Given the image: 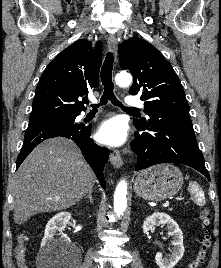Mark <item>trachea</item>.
Returning a JSON list of instances; mask_svg holds the SVG:
<instances>
[{"instance_id": "trachea-1", "label": "trachea", "mask_w": 221, "mask_h": 268, "mask_svg": "<svg viewBox=\"0 0 221 268\" xmlns=\"http://www.w3.org/2000/svg\"><path fill=\"white\" fill-rule=\"evenodd\" d=\"M113 61H114V56L113 53L109 52L106 55L105 61L103 63V66L101 68V82L102 85L104 86V92L101 97L100 103L98 105H91L93 109H97L100 105H105L108 100L112 102L115 106H119L125 111H138L136 108L132 107H125L122 105L120 101L117 100V98L114 95L113 89H114V84L112 81V69H113ZM88 104V100L85 101Z\"/></svg>"}]
</instances>
